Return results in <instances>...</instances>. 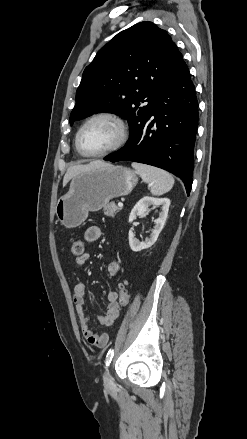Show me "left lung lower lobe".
<instances>
[{
  "label": "left lung lower lobe",
  "instance_id": "0a47b994",
  "mask_svg": "<svg viewBox=\"0 0 247 439\" xmlns=\"http://www.w3.org/2000/svg\"><path fill=\"white\" fill-rule=\"evenodd\" d=\"M197 114L195 89L186 67L159 93L152 113L130 136L127 144L104 160L133 161L167 170L184 182L189 195L193 182Z\"/></svg>",
  "mask_w": 247,
  "mask_h": 439
}]
</instances>
